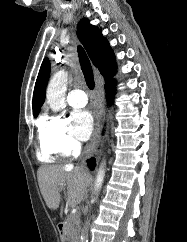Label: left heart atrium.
Instances as JSON below:
<instances>
[{
    "label": "left heart atrium",
    "instance_id": "obj_1",
    "mask_svg": "<svg viewBox=\"0 0 187 242\" xmlns=\"http://www.w3.org/2000/svg\"><path fill=\"white\" fill-rule=\"evenodd\" d=\"M73 133L80 140H87L94 127V118L90 111L85 109L72 112Z\"/></svg>",
    "mask_w": 187,
    "mask_h": 242
}]
</instances>
